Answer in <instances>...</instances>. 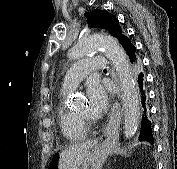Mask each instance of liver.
<instances>
[{
    "instance_id": "liver-1",
    "label": "liver",
    "mask_w": 177,
    "mask_h": 169,
    "mask_svg": "<svg viewBox=\"0 0 177 169\" xmlns=\"http://www.w3.org/2000/svg\"><path fill=\"white\" fill-rule=\"evenodd\" d=\"M97 143L95 139L69 146L59 154L58 169H79Z\"/></svg>"
}]
</instances>
